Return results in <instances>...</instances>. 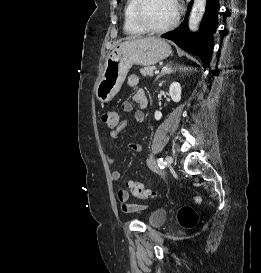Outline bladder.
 <instances>
[{
    "mask_svg": "<svg viewBox=\"0 0 261 273\" xmlns=\"http://www.w3.org/2000/svg\"><path fill=\"white\" fill-rule=\"evenodd\" d=\"M166 212L163 210H155L153 211L149 218H148V223L152 227H158L161 226L165 220H166Z\"/></svg>",
    "mask_w": 261,
    "mask_h": 273,
    "instance_id": "obj_1",
    "label": "bladder"
}]
</instances>
